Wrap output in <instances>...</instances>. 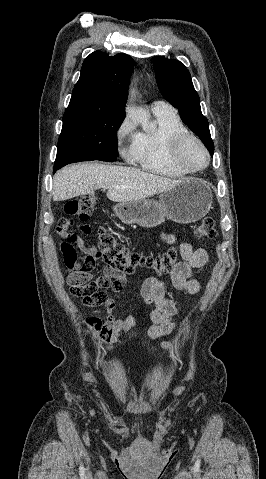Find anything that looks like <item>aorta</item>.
I'll list each match as a JSON object with an SVG mask.
<instances>
[{
	"label": "aorta",
	"mask_w": 266,
	"mask_h": 479,
	"mask_svg": "<svg viewBox=\"0 0 266 479\" xmlns=\"http://www.w3.org/2000/svg\"><path fill=\"white\" fill-rule=\"evenodd\" d=\"M128 116L134 121L141 123L144 128L149 127V115L138 111L135 107L129 106L127 108Z\"/></svg>",
	"instance_id": "1"
}]
</instances>
